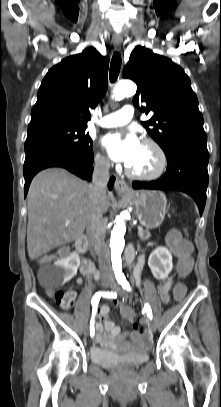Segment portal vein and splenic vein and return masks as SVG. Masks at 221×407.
Instances as JSON below:
<instances>
[{
	"instance_id": "18ae733b",
	"label": "portal vein and splenic vein",
	"mask_w": 221,
	"mask_h": 407,
	"mask_svg": "<svg viewBox=\"0 0 221 407\" xmlns=\"http://www.w3.org/2000/svg\"><path fill=\"white\" fill-rule=\"evenodd\" d=\"M69 224V222H66V225H68ZM143 230V228L142 227H138V231L140 232V231H142Z\"/></svg>"
}]
</instances>
